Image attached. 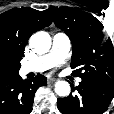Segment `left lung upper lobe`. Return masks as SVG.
<instances>
[{
    "label": "left lung upper lobe",
    "mask_w": 114,
    "mask_h": 114,
    "mask_svg": "<svg viewBox=\"0 0 114 114\" xmlns=\"http://www.w3.org/2000/svg\"><path fill=\"white\" fill-rule=\"evenodd\" d=\"M55 25L72 41L74 76L114 85V47L103 36V25L91 14L61 7L46 10Z\"/></svg>",
    "instance_id": "obj_1"
}]
</instances>
